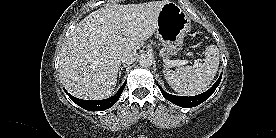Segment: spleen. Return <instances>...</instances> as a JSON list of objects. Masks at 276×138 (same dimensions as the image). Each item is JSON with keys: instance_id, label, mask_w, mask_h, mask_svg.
I'll return each instance as SVG.
<instances>
[{"instance_id": "1", "label": "spleen", "mask_w": 276, "mask_h": 138, "mask_svg": "<svg viewBox=\"0 0 276 138\" xmlns=\"http://www.w3.org/2000/svg\"><path fill=\"white\" fill-rule=\"evenodd\" d=\"M204 53L203 64L185 66L165 73L168 84L176 92L193 96L205 91L211 84L219 67V50L217 46L209 45Z\"/></svg>"}]
</instances>
